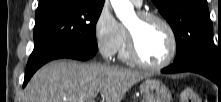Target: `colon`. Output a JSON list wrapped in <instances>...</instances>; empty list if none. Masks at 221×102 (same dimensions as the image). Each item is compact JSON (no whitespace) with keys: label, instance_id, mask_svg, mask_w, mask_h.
Wrapping results in <instances>:
<instances>
[{"label":"colon","instance_id":"colon-1","mask_svg":"<svg viewBox=\"0 0 221 102\" xmlns=\"http://www.w3.org/2000/svg\"><path fill=\"white\" fill-rule=\"evenodd\" d=\"M181 102H201L200 96L192 88H185L180 96Z\"/></svg>","mask_w":221,"mask_h":102}]
</instances>
